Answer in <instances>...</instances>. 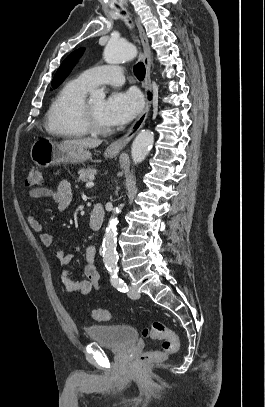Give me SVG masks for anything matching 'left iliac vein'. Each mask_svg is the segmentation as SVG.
Instances as JSON below:
<instances>
[{"label": "left iliac vein", "instance_id": "4c4485c4", "mask_svg": "<svg viewBox=\"0 0 265 407\" xmlns=\"http://www.w3.org/2000/svg\"><path fill=\"white\" fill-rule=\"evenodd\" d=\"M128 296H129L131 299H138V298L140 297V294H139V292L136 290L135 287L130 286L129 292H128Z\"/></svg>", "mask_w": 265, "mask_h": 407}]
</instances>
